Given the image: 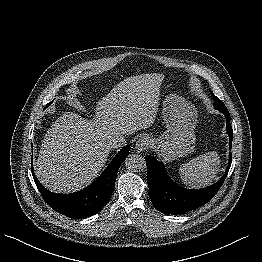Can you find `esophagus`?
<instances>
[{"label":"esophagus","mask_w":262,"mask_h":262,"mask_svg":"<svg viewBox=\"0 0 262 262\" xmlns=\"http://www.w3.org/2000/svg\"><path fill=\"white\" fill-rule=\"evenodd\" d=\"M150 140L148 137H141L135 144L137 152H145L150 147Z\"/></svg>","instance_id":"1"}]
</instances>
